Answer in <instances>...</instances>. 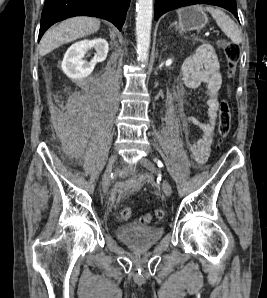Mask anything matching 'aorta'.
Masks as SVG:
<instances>
[{
    "label": "aorta",
    "instance_id": "aorta-1",
    "mask_svg": "<svg viewBox=\"0 0 267 298\" xmlns=\"http://www.w3.org/2000/svg\"><path fill=\"white\" fill-rule=\"evenodd\" d=\"M136 11L137 53L140 61L146 63L150 47L153 0H137Z\"/></svg>",
    "mask_w": 267,
    "mask_h": 298
}]
</instances>
